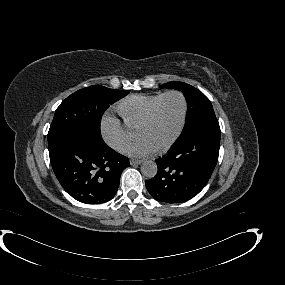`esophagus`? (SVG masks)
<instances>
[{
	"label": "esophagus",
	"mask_w": 285,
	"mask_h": 285,
	"mask_svg": "<svg viewBox=\"0 0 285 285\" xmlns=\"http://www.w3.org/2000/svg\"><path fill=\"white\" fill-rule=\"evenodd\" d=\"M143 161L142 160H136V159H131L130 160V164L132 165V166H134V165H139V164H141Z\"/></svg>",
	"instance_id": "34e87169"
}]
</instances>
